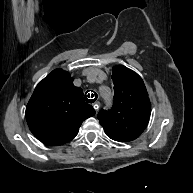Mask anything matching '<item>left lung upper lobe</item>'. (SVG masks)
<instances>
[{"label":"left lung upper lobe","mask_w":193,"mask_h":193,"mask_svg":"<svg viewBox=\"0 0 193 193\" xmlns=\"http://www.w3.org/2000/svg\"><path fill=\"white\" fill-rule=\"evenodd\" d=\"M113 108L101 110L98 119L113 140L130 142L140 136L150 118V101L141 77L129 68L113 67Z\"/></svg>","instance_id":"1"}]
</instances>
